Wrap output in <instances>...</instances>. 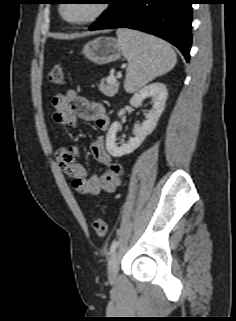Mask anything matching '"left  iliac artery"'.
Segmentation results:
<instances>
[{"instance_id":"left-iliac-artery-1","label":"left iliac artery","mask_w":236,"mask_h":321,"mask_svg":"<svg viewBox=\"0 0 236 321\" xmlns=\"http://www.w3.org/2000/svg\"><path fill=\"white\" fill-rule=\"evenodd\" d=\"M118 245V241H114L110 246V253L114 252Z\"/></svg>"}]
</instances>
